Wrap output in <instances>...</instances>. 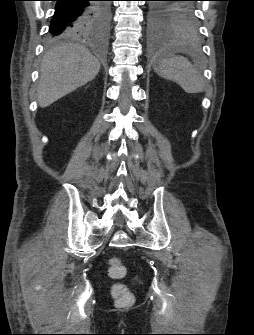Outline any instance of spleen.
I'll return each instance as SVG.
<instances>
[{"mask_svg": "<svg viewBox=\"0 0 254 335\" xmlns=\"http://www.w3.org/2000/svg\"><path fill=\"white\" fill-rule=\"evenodd\" d=\"M175 46L168 44L157 57L156 73L172 81H175L187 93H201L204 90V80L191 62L175 54Z\"/></svg>", "mask_w": 254, "mask_h": 335, "instance_id": "spleen-1", "label": "spleen"}]
</instances>
